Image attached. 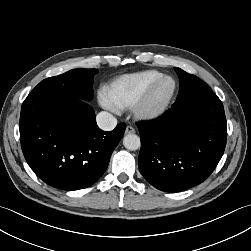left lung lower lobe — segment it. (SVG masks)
I'll return each mask as SVG.
<instances>
[{"mask_svg": "<svg viewBox=\"0 0 251 251\" xmlns=\"http://www.w3.org/2000/svg\"><path fill=\"white\" fill-rule=\"evenodd\" d=\"M137 126L139 170L151 185L165 192L183 191L205 181L226 146L224 108L207 84L179 93L165 114Z\"/></svg>", "mask_w": 251, "mask_h": 251, "instance_id": "0a47b994", "label": "left lung lower lobe"}]
</instances>
